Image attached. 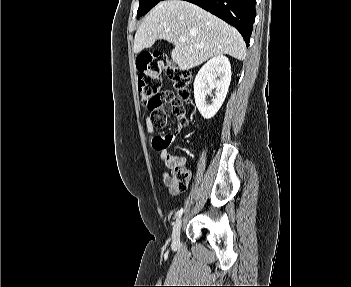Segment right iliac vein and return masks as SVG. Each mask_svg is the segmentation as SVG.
I'll return each mask as SVG.
<instances>
[{
	"mask_svg": "<svg viewBox=\"0 0 351 287\" xmlns=\"http://www.w3.org/2000/svg\"><path fill=\"white\" fill-rule=\"evenodd\" d=\"M181 226H182V219L179 218L174 224L173 231H172V241L174 246H177L180 242Z\"/></svg>",
	"mask_w": 351,
	"mask_h": 287,
	"instance_id": "right-iliac-vein-1",
	"label": "right iliac vein"
}]
</instances>
